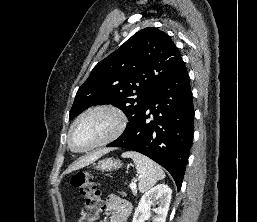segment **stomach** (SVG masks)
I'll use <instances>...</instances> for the list:
<instances>
[{"mask_svg": "<svg viewBox=\"0 0 257 222\" xmlns=\"http://www.w3.org/2000/svg\"><path fill=\"white\" fill-rule=\"evenodd\" d=\"M122 166L121 162L118 159L107 158L98 163L96 169L102 171H111L114 169H119Z\"/></svg>", "mask_w": 257, "mask_h": 222, "instance_id": "stomach-1", "label": "stomach"}]
</instances>
